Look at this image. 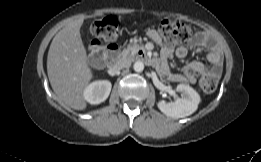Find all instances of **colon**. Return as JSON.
<instances>
[{"mask_svg": "<svg viewBox=\"0 0 261 162\" xmlns=\"http://www.w3.org/2000/svg\"><path fill=\"white\" fill-rule=\"evenodd\" d=\"M158 31L169 45L181 44L191 38V28L180 21L166 19L160 22ZM91 33L94 36L90 49V56L96 63H102L106 56V47L103 41L113 42L120 34V18L114 14H108L95 21L91 25ZM199 85L206 93L215 91L217 78L212 74H203L199 77Z\"/></svg>", "mask_w": 261, "mask_h": 162, "instance_id": "1", "label": "colon"}]
</instances>
